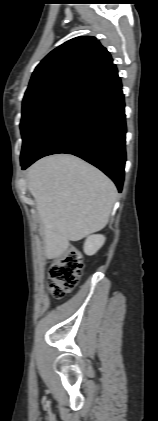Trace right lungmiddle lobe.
Listing matches in <instances>:
<instances>
[{
    "instance_id": "1",
    "label": "right lung middle lobe",
    "mask_w": 158,
    "mask_h": 421,
    "mask_svg": "<svg viewBox=\"0 0 158 421\" xmlns=\"http://www.w3.org/2000/svg\"><path fill=\"white\" fill-rule=\"evenodd\" d=\"M80 86L79 83L60 82L24 96L20 123L21 162L27 159L47 123Z\"/></svg>"
}]
</instances>
